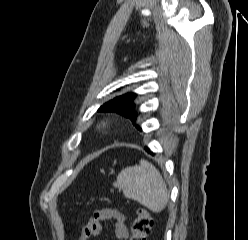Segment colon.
<instances>
[{
  "mask_svg": "<svg viewBox=\"0 0 248 240\" xmlns=\"http://www.w3.org/2000/svg\"><path fill=\"white\" fill-rule=\"evenodd\" d=\"M152 226L153 219L150 214L145 209H139L131 225L130 240H147Z\"/></svg>",
  "mask_w": 248,
  "mask_h": 240,
  "instance_id": "colon-1",
  "label": "colon"
}]
</instances>
